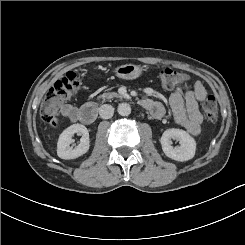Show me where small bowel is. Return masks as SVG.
<instances>
[{"mask_svg":"<svg viewBox=\"0 0 245 245\" xmlns=\"http://www.w3.org/2000/svg\"><path fill=\"white\" fill-rule=\"evenodd\" d=\"M206 95L204 85L195 81L190 90L182 84L170 96L169 102L176 123L192 135H198L201 131L203 116L198 109V101L203 100ZM142 105L156 118L162 117L165 112L161 103L148 98L142 100ZM61 114L72 122L79 120V110L70 104L61 107Z\"/></svg>","mask_w":245,"mask_h":245,"instance_id":"1","label":"small bowel"}]
</instances>
